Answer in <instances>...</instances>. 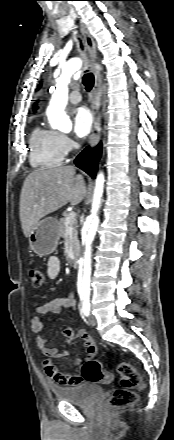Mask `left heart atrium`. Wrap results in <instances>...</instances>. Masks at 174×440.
Returning <instances> with one entry per match:
<instances>
[{"label":"left heart atrium","instance_id":"39dd6f15","mask_svg":"<svg viewBox=\"0 0 174 440\" xmlns=\"http://www.w3.org/2000/svg\"><path fill=\"white\" fill-rule=\"evenodd\" d=\"M93 117L89 109L80 107L74 112L73 131L77 138L86 137L91 131Z\"/></svg>","mask_w":174,"mask_h":440}]
</instances>
